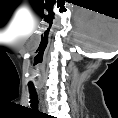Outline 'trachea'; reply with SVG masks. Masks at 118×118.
I'll return each mask as SVG.
<instances>
[{
    "label": "trachea",
    "instance_id": "obj_1",
    "mask_svg": "<svg viewBox=\"0 0 118 118\" xmlns=\"http://www.w3.org/2000/svg\"><path fill=\"white\" fill-rule=\"evenodd\" d=\"M29 92H30V98H31V101H30L31 105L37 107V105H38V98H37L36 91L33 90V89H30Z\"/></svg>",
    "mask_w": 118,
    "mask_h": 118
}]
</instances>
